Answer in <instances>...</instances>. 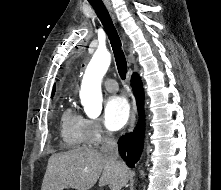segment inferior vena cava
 I'll use <instances>...</instances> for the list:
<instances>
[{
  "instance_id": "obj_1",
  "label": "inferior vena cava",
  "mask_w": 221,
  "mask_h": 190,
  "mask_svg": "<svg viewBox=\"0 0 221 190\" xmlns=\"http://www.w3.org/2000/svg\"><path fill=\"white\" fill-rule=\"evenodd\" d=\"M100 152L109 160L116 162L118 165L123 164V162L119 160L117 143L114 140L112 133L109 131H104Z\"/></svg>"
}]
</instances>
